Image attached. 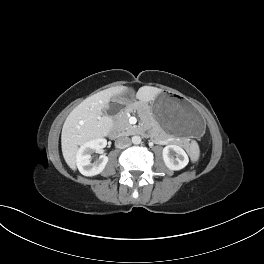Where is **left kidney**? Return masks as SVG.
<instances>
[{"mask_svg":"<svg viewBox=\"0 0 264 264\" xmlns=\"http://www.w3.org/2000/svg\"><path fill=\"white\" fill-rule=\"evenodd\" d=\"M163 160L170 170H181L189 162L188 155L178 145H167L163 149Z\"/></svg>","mask_w":264,"mask_h":264,"instance_id":"obj_1","label":"left kidney"}]
</instances>
